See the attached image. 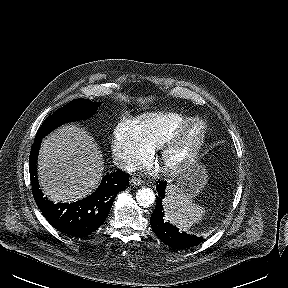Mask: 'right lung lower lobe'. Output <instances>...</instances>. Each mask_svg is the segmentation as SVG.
Wrapping results in <instances>:
<instances>
[{"label":"right lung lower lobe","instance_id":"98d812e1","mask_svg":"<svg viewBox=\"0 0 288 288\" xmlns=\"http://www.w3.org/2000/svg\"><path fill=\"white\" fill-rule=\"evenodd\" d=\"M42 138H35L29 158L33 197L47 221L58 231L72 237H84L98 229L106 220L119 191L128 187L129 175L115 171L105 175L90 196L73 203L53 204L43 197L37 180V158Z\"/></svg>","mask_w":288,"mask_h":288}]
</instances>
